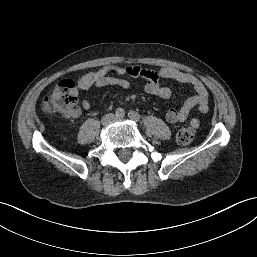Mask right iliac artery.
<instances>
[{
  "instance_id": "82829eb1",
  "label": "right iliac artery",
  "mask_w": 257,
  "mask_h": 257,
  "mask_svg": "<svg viewBox=\"0 0 257 257\" xmlns=\"http://www.w3.org/2000/svg\"><path fill=\"white\" fill-rule=\"evenodd\" d=\"M115 113H116V116L119 118L124 117L125 115V111L122 108H118Z\"/></svg>"
}]
</instances>
